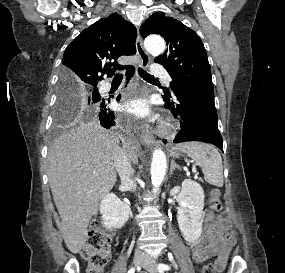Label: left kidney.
Returning a JSON list of instances; mask_svg holds the SVG:
<instances>
[{"instance_id":"1","label":"left kidney","mask_w":285,"mask_h":273,"mask_svg":"<svg viewBox=\"0 0 285 273\" xmlns=\"http://www.w3.org/2000/svg\"><path fill=\"white\" fill-rule=\"evenodd\" d=\"M204 191L200 184L190 179L182 182L181 192L177 197L179 204L177 220L184 239L195 243L202 233Z\"/></svg>"}]
</instances>
